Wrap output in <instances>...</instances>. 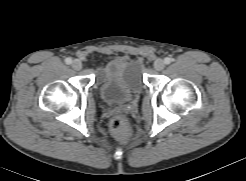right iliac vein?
<instances>
[{
    "mask_svg": "<svg viewBox=\"0 0 246 181\" xmlns=\"http://www.w3.org/2000/svg\"><path fill=\"white\" fill-rule=\"evenodd\" d=\"M72 67H73V69H75V70H80V69L82 68V63H81V61L78 60V59L73 60V62H72Z\"/></svg>",
    "mask_w": 246,
    "mask_h": 181,
    "instance_id": "obj_1",
    "label": "right iliac vein"
}]
</instances>
